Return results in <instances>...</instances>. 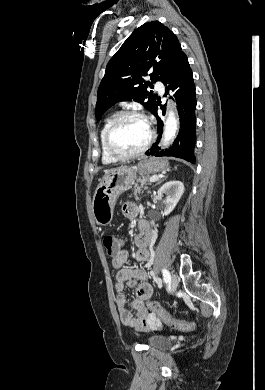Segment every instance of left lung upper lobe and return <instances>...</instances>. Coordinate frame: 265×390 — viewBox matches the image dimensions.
<instances>
[{"label": "left lung upper lobe", "mask_w": 265, "mask_h": 390, "mask_svg": "<svg viewBox=\"0 0 265 390\" xmlns=\"http://www.w3.org/2000/svg\"><path fill=\"white\" fill-rule=\"evenodd\" d=\"M182 52L176 35L159 21L137 28L107 64L98 88L96 119L116 102L132 99L153 113L157 96L148 92L152 83L143 76L150 72L152 82H164Z\"/></svg>", "instance_id": "obj_1"}]
</instances>
